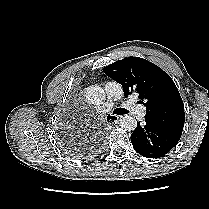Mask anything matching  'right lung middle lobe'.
Returning a JSON list of instances; mask_svg holds the SVG:
<instances>
[{
	"label": "right lung middle lobe",
	"mask_w": 209,
	"mask_h": 209,
	"mask_svg": "<svg viewBox=\"0 0 209 209\" xmlns=\"http://www.w3.org/2000/svg\"><path fill=\"white\" fill-rule=\"evenodd\" d=\"M71 153H72V154H77V153H79V152H78V151L76 152L75 150H74V151L72 150Z\"/></svg>",
	"instance_id": "1"
}]
</instances>
